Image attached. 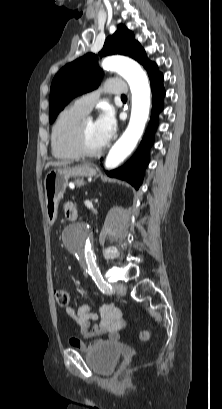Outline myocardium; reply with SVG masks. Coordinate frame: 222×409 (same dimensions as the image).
Segmentation results:
<instances>
[{
  "label": "myocardium",
  "instance_id": "obj_1",
  "mask_svg": "<svg viewBox=\"0 0 222 409\" xmlns=\"http://www.w3.org/2000/svg\"><path fill=\"white\" fill-rule=\"evenodd\" d=\"M89 118L87 117H83L75 131L73 134V139H72V143H73V147L76 150V152L79 154V156H83V157H97L99 156L103 150L104 147L102 146L101 148L97 149V150H89L86 145H85V141H84V135H85V126H86V122Z\"/></svg>",
  "mask_w": 222,
  "mask_h": 409
}]
</instances>
